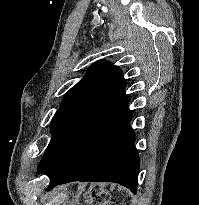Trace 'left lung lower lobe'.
I'll use <instances>...</instances> for the list:
<instances>
[{
	"label": "left lung lower lobe",
	"instance_id": "obj_1",
	"mask_svg": "<svg viewBox=\"0 0 199 205\" xmlns=\"http://www.w3.org/2000/svg\"><path fill=\"white\" fill-rule=\"evenodd\" d=\"M129 97L92 131L76 159L62 176L50 180L47 190L73 181H111L136 192L139 156L130 126Z\"/></svg>",
	"mask_w": 199,
	"mask_h": 205
}]
</instances>
